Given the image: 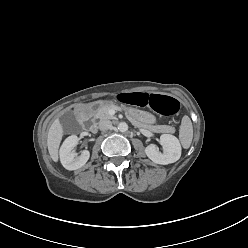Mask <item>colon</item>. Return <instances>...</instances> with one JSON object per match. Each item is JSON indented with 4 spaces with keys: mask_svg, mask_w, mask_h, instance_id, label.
I'll return each instance as SVG.
<instances>
[{
    "mask_svg": "<svg viewBox=\"0 0 248 248\" xmlns=\"http://www.w3.org/2000/svg\"><path fill=\"white\" fill-rule=\"evenodd\" d=\"M119 99L126 104L149 106L164 116H172L179 109V103L176 99L161 94H149L146 92L123 93L119 96Z\"/></svg>",
    "mask_w": 248,
    "mask_h": 248,
    "instance_id": "5ec220e1",
    "label": "colon"
}]
</instances>
